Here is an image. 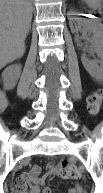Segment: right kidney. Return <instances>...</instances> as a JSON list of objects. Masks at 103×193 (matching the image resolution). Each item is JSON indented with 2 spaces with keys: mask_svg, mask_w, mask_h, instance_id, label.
<instances>
[{
  "mask_svg": "<svg viewBox=\"0 0 103 193\" xmlns=\"http://www.w3.org/2000/svg\"><path fill=\"white\" fill-rule=\"evenodd\" d=\"M20 73H21L20 65H12L6 68L2 73L4 87L6 89H12L15 86Z\"/></svg>",
  "mask_w": 103,
  "mask_h": 193,
  "instance_id": "obj_1",
  "label": "right kidney"
}]
</instances>
